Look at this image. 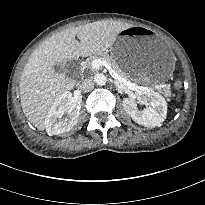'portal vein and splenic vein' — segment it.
<instances>
[{
    "mask_svg": "<svg viewBox=\"0 0 205 205\" xmlns=\"http://www.w3.org/2000/svg\"><path fill=\"white\" fill-rule=\"evenodd\" d=\"M93 69H99L101 66H104L111 76L121 82L127 83L131 88L139 89L140 87L135 86L133 83H130L126 81V79L122 78L118 73L114 71V69L111 67L109 63H107L105 60L101 59H95L91 64Z\"/></svg>",
    "mask_w": 205,
    "mask_h": 205,
    "instance_id": "1",
    "label": "portal vein and splenic vein"
}]
</instances>
